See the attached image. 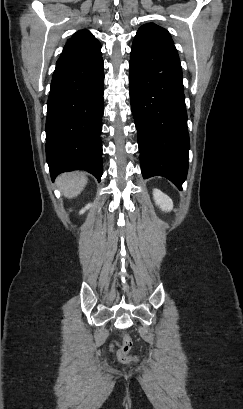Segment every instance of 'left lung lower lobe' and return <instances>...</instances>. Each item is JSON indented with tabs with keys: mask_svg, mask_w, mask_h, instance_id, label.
I'll use <instances>...</instances> for the list:
<instances>
[{
	"mask_svg": "<svg viewBox=\"0 0 243 409\" xmlns=\"http://www.w3.org/2000/svg\"><path fill=\"white\" fill-rule=\"evenodd\" d=\"M129 68L142 175L164 176L181 190L190 145L177 50L170 42L132 47Z\"/></svg>",
	"mask_w": 243,
	"mask_h": 409,
	"instance_id": "obj_1",
	"label": "left lung lower lobe"
}]
</instances>
